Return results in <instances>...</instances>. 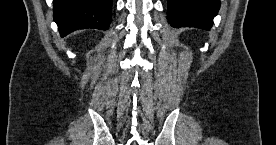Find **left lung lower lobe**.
I'll return each instance as SVG.
<instances>
[{
	"instance_id": "obj_1",
	"label": "left lung lower lobe",
	"mask_w": 276,
	"mask_h": 145,
	"mask_svg": "<svg viewBox=\"0 0 276 145\" xmlns=\"http://www.w3.org/2000/svg\"><path fill=\"white\" fill-rule=\"evenodd\" d=\"M219 8V0H168L167 15L172 27L209 30Z\"/></svg>"
}]
</instances>
